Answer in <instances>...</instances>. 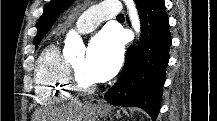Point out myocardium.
I'll return each instance as SVG.
<instances>
[{"label": "myocardium", "instance_id": "1", "mask_svg": "<svg viewBox=\"0 0 217 121\" xmlns=\"http://www.w3.org/2000/svg\"><path fill=\"white\" fill-rule=\"evenodd\" d=\"M68 82L72 91L79 94H88L96 89L94 81L85 80L72 64H68Z\"/></svg>", "mask_w": 217, "mask_h": 121}]
</instances>
